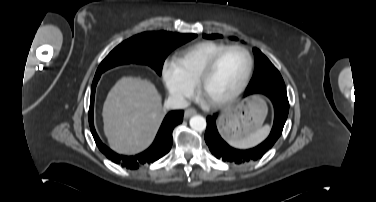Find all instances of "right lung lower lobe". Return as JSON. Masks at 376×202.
Segmentation results:
<instances>
[{
    "instance_id": "1",
    "label": "right lung lower lobe",
    "mask_w": 376,
    "mask_h": 202,
    "mask_svg": "<svg viewBox=\"0 0 376 202\" xmlns=\"http://www.w3.org/2000/svg\"><path fill=\"white\" fill-rule=\"evenodd\" d=\"M99 79H94L91 87L89 109V124L92 135L99 150L112 162L120 164L127 169H137L139 165L150 164L167 154L172 146V131L183 120L182 110L170 111L164 118L153 144L144 152L135 156L119 155L104 145L99 139L93 124V107L95 88Z\"/></svg>"
}]
</instances>
